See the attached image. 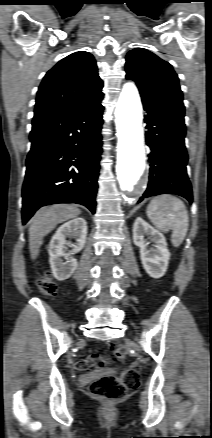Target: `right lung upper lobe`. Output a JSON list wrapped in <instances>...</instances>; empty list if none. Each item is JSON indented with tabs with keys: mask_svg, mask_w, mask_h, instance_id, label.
<instances>
[{
	"mask_svg": "<svg viewBox=\"0 0 212 438\" xmlns=\"http://www.w3.org/2000/svg\"><path fill=\"white\" fill-rule=\"evenodd\" d=\"M94 57L79 51L58 62L39 87L34 118L90 107L103 98Z\"/></svg>",
	"mask_w": 212,
	"mask_h": 438,
	"instance_id": "right-lung-upper-lobe-1",
	"label": "right lung upper lobe"
}]
</instances>
